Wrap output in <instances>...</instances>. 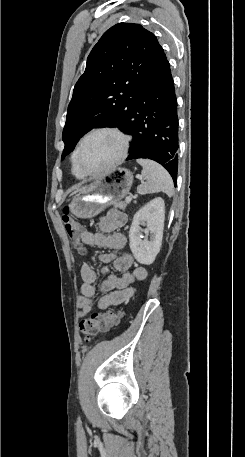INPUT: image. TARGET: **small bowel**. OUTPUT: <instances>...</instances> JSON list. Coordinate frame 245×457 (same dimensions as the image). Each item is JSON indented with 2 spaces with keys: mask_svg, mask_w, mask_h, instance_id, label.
Segmentation results:
<instances>
[{
  "mask_svg": "<svg viewBox=\"0 0 245 457\" xmlns=\"http://www.w3.org/2000/svg\"><path fill=\"white\" fill-rule=\"evenodd\" d=\"M127 216L119 210H111L99 221V232H90L82 229V243L104 250H120L127 244V238L119 230L126 224ZM104 264L112 263L119 275L107 274L100 291L104 294L95 303L97 274L89 264H82L80 275L82 279L81 295L78 298L80 316H85L95 308L104 310L112 305H119L127 301L134 293L131 287L134 281H142L147 277V270L142 266H134V259L130 254L117 255L114 252H105L100 255ZM105 265L102 272L107 273Z\"/></svg>",
  "mask_w": 245,
  "mask_h": 457,
  "instance_id": "obj_1",
  "label": "small bowel"
}]
</instances>
